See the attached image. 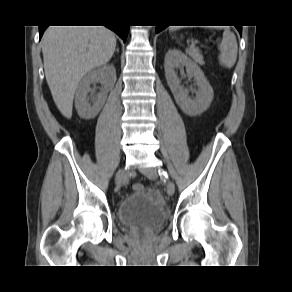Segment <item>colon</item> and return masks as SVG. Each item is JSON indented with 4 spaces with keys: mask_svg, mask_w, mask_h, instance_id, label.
Masks as SVG:
<instances>
[{
    "mask_svg": "<svg viewBox=\"0 0 292 292\" xmlns=\"http://www.w3.org/2000/svg\"><path fill=\"white\" fill-rule=\"evenodd\" d=\"M132 188L134 191H140L143 189V186L140 183H135V184H133Z\"/></svg>",
    "mask_w": 292,
    "mask_h": 292,
    "instance_id": "5ec220e1",
    "label": "colon"
}]
</instances>
